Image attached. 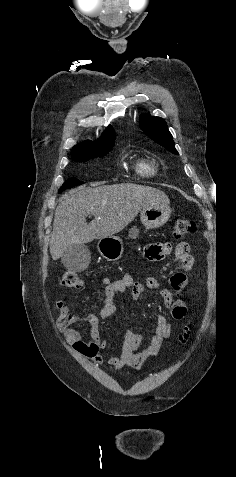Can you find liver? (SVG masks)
<instances>
[{"mask_svg":"<svg viewBox=\"0 0 236 477\" xmlns=\"http://www.w3.org/2000/svg\"><path fill=\"white\" fill-rule=\"evenodd\" d=\"M169 204L167 195L149 186L114 184L80 187L63 196L56 207L50 254L59 259L72 244H85L122 231L151 204ZM93 215L90 224L86 217Z\"/></svg>","mask_w":236,"mask_h":477,"instance_id":"6515ba94","label":"liver"}]
</instances>
